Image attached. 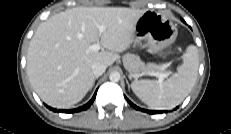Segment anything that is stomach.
<instances>
[{
    "mask_svg": "<svg viewBox=\"0 0 231 134\" xmlns=\"http://www.w3.org/2000/svg\"><path fill=\"white\" fill-rule=\"evenodd\" d=\"M177 34V28L171 20L156 11L147 10L136 21L133 42L145 40L148 52L158 54L175 41Z\"/></svg>",
    "mask_w": 231,
    "mask_h": 134,
    "instance_id": "obj_1",
    "label": "stomach"
}]
</instances>
